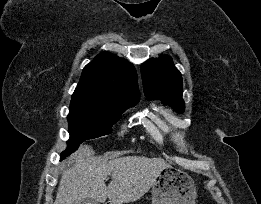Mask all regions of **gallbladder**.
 <instances>
[{"label":"gallbladder","instance_id":"1","mask_svg":"<svg viewBox=\"0 0 261 204\" xmlns=\"http://www.w3.org/2000/svg\"><path fill=\"white\" fill-rule=\"evenodd\" d=\"M80 204H98V202L93 199H84Z\"/></svg>","mask_w":261,"mask_h":204}]
</instances>
